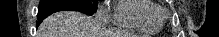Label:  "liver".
<instances>
[{"instance_id":"1","label":"liver","mask_w":219,"mask_h":37,"mask_svg":"<svg viewBox=\"0 0 219 37\" xmlns=\"http://www.w3.org/2000/svg\"><path fill=\"white\" fill-rule=\"evenodd\" d=\"M39 37H101L97 22L77 11H60L47 17L38 29Z\"/></svg>"}]
</instances>
